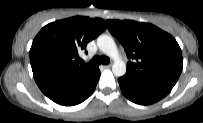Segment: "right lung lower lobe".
<instances>
[{
  "label": "right lung lower lobe",
  "mask_w": 203,
  "mask_h": 123,
  "mask_svg": "<svg viewBox=\"0 0 203 123\" xmlns=\"http://www.w3.org/2000/svg\"><path fill=\"white\" fill-rule=\"evenodd\" d=\"M100 77L97 67L86 74L53 76L37 82L41 91L52 101L72 106L86 100L94 91Z\"/></svg>",
  "instance_id": "1"
}]
</instances>
